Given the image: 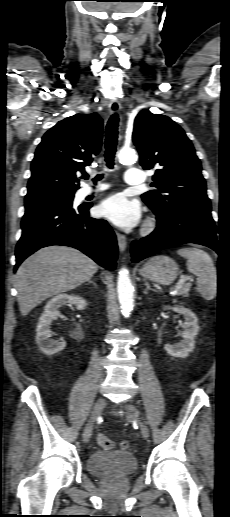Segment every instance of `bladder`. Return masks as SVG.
<instances>
[{"mask_svg":"<svg viewBox=\"0 0 230 517\" xmlns=\"http://www.w3.org/2000/svg\"><path fill=\"white\" fill-rule=\"evenodd\" d=\"M90 474L101 478L127 477L137 469V459L126 451L109 450L92 454L87 462Z\"/></svg>","mask_w":230,"mask_h":517,"instance_id":"31cf9c89","label":"bladder"}]
</instances>
